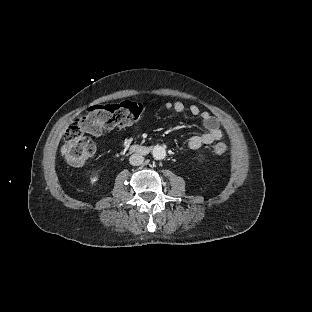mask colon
Returning a JSON list of instances; mask_svg holds the SVG:
<instances>
[{
	"label": "colon",
	"mask_w": 312,
	"mask_h": 312,
	"mask_svg": "<svg viewBox=\"0 0 312 312\" xmlns=\"http://www.w3.org/2000/svg\"><path fill=\"white\" fill-rule=\"evenodd\" d=\"M146 110L143 102L124 101L117 104L91 106L79 121L69 125L63 136L62 152L71 166L83 165L93 154L94 144L90 135H100L114 127L137 123ZM228 149L225 142L213 147L217 155Z\"/></svg>",
	"instance_id": "colon-1"
}]
</instances>
